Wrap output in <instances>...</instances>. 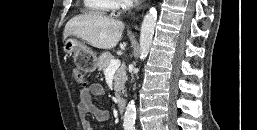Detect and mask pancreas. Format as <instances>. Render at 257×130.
Masks as SVG:
<instances>
[{"instance_id": "obj_1", "label": "pancreas", "mask_w": 257, "mask_h": 130, "mask_svg": "<svg viewBox=\"0 0 257 130\" xmlns=\"http://www.w3.org/2000/svg\"><path fill=\"white\" fill-rule=\"evenodd\" d=\"M114 59V56L110 52H103L98 58L97 67L99 70L105 72L110 64V61ZM115 96L120 98V95L124 91V84L127 80L125 66L118 68L113 76Z\"/></svg>"}]
</instances>
